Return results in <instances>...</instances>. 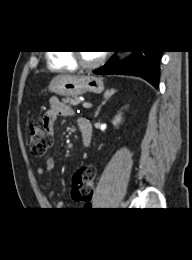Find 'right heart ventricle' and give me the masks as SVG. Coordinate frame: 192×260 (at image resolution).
I'll return each instance as SVG.
<instances>
[{
	"mask_svg": "<svg viewBox=\"0 0 192 260\" xmlns=\"http://www.w3.org/2000/svg\"><path fill=\"white\" fill-rule=\"evenodd\" d=\"M48 63L51 69L57 71H74L77 69V65L68 51H59L50 54Z\"/></svg>",
	"mask_w": 192,
	"mask_h": 260,
	"instance_id": "right-heart-ventricle-1",
	"label": "right heart ventricle"
}]
</instances>
